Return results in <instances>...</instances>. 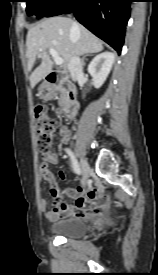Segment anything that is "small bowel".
<instances>
[{"instance_id":"c3829d8e","label":"small bowel","mask_w":158,"mask_h":275,"mask_svg":"<svg viewBox=\"0 0 158 275\" xmlns=\"http://www.w3.org/2000/svg\"><path fill=\"white\" fill-rule=\"evenodd\" d=\"M60 143L66 144L71 138V132L66 126L59 127ZM59 162V156L55 151L42 153V163L39 171L43 180L48 182L50 192L60 202H56L51 209L48 208V201L42 199L40 206L46 219L54 220L60 217H78L88 218L102 213L106 207V200L100 195L96 187L86 184L76 188H66L60 190L53 173L50 171V165H56ZM72 200L73 204H69Z\"/></svg>"}]
</instances>
